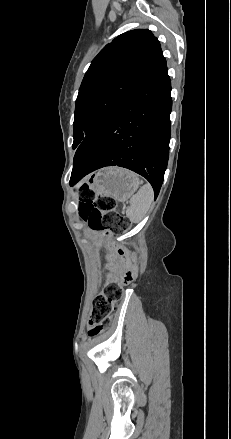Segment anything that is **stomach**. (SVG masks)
<instances>
[{"mask_svg": "<svg viewBox=\"0 0 231 439\" xmlns=\"http://www.w3.org/2000/svg\"><path fill=\"white\" fill-rule=\"evenodd\" d=\"M139 178L131 171L108 167L99 170L91 178V187L101 196L124 202L138 189Z\"/></svg>", "mask_w": 231, "mask_h": 439, "instance_id": "stomach-1", "label": "stomach"}]
</instances>
